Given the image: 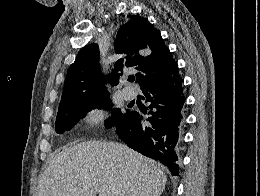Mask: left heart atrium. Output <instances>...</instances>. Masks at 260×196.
Here are the masks:
<instances>
[{
	"label": "left heart atrium",
	"instance_id": "39dd6f15",
	"mask_svg": "<svg viewBox=\"0 0 260 196\" xmlns=\"http://www.w3.org/2000/svg\"><path fill=\"white\" fill-rule=\"evenodd\" d=\"M111 192H120V190H111Z\"/></svg>",
	"mask_w": 260,
	"mask_h": 196
}]
</instances>
